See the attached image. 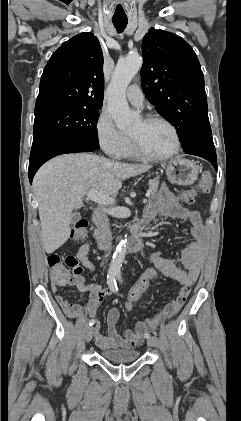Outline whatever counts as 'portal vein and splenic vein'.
<instances>
[{
  "label": "portal vein and splenic vein",
  "instance_id": "obj_1",
  "mask_svg": "<svg viewBox=\"0 0 241 421\" xmlns=\"http://www.w3.org/2000/svg\"><path fill=\"white\" fill-rule=\"evenodd\" d=\"M86 195H87V198L89 200H91L93 202H96V203H99V204H102V205H112L115 202L114 198H112L110 196H107V195H104V194H101L98 191H96L95 189L89 190L86 193ZM149 196H150V191H148L146 193V197H149ZM144 201H146V199H144Z\"/></svg>",
  "mask_w": 241,
  "mask_h": 421
}]
</instances>
